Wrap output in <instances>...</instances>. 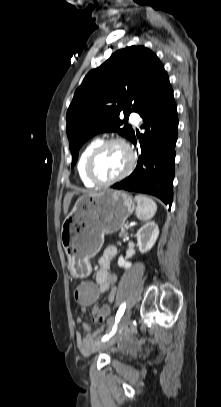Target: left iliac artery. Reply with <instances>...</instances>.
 Instances as JSON below:
<instances>
[{"mask_svg":"<svg viewBox=\"0 0 221 407\" xmlns=\"http://www.w3.org/2000/svg\"><path fill=\"white\" fill-rule=\"evenodd\" d=\"M125 306H126L125 303H123V304L119 307V309H118V311H117V314H116V317H115V325H114V327H113V330H112V332H111L109 335L104 336V337L102 338V341L108 340V339L114 334V332L116 331L117 324H118V322L120 321V318L122 317V315H123V313H124V311H125Z\"/></svg>","mask_w":221,"mask_h":407,"instance_id":"left-iliac-artery-1","label":"left iliac artery"}]
</instances>
